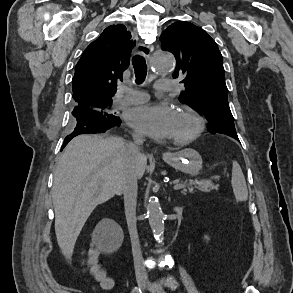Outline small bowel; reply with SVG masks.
Wrapping results in <instances>:
<instances>
[{"mask_svg":"<svg viewBox=\"0 0 293 293\" xmlns=\"http://www.w3.org/2000/svg\"><path fill=\"white\" fill-rule=\"evenodd\" d=\"M108 284L106 290H111L114 287V281L111 278H107Z\"/></svg>","mask_w":293,"mask_h":293,"instance_id":"obj_1","label":"small bowel"}]
</instances>
